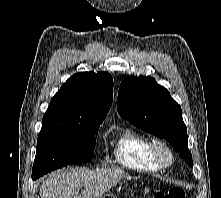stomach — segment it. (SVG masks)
I'll return each instance as SVG.
<instances>
[{
    "label": "stomach",
    "mask_w": 221,
    "mask_h": 198,
    "mask_svg": "<svg viewBox=\"0 0 221 198\" xmlns=\"http://www.w3.org/2000/svg\"><path fill=\"white\" fill-rule=\"evenodd\" d=\"M103 198H116V196H114V195H106V196H104Z\"/></svg>",
    "instance_id": "obj_1"
}]
</instances>
